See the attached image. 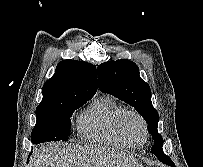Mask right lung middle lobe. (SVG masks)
<instances>
[{
    "label": "right lung middle lobe",
    "mask_w": 203,
    "mask_h": 167,
    "mask_svg": "<svg viewBox=\"0 0 203 167\" xmlns=\"http://www.w3.org/2000/svg\"><path fill=\"white\" fill-rule=\"evenodd\" d=\"M89 99H72L53 107L36 108L37 121L31 134L32 143L67 141L72 113Z\"/></svg>",
    "instance_id": "right-lung-middle-lobe-1"
}]
</instances>
